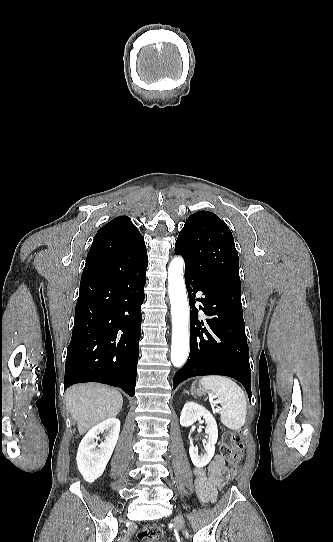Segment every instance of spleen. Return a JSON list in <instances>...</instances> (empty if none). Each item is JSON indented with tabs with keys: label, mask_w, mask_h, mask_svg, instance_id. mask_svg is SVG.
<instances>
[{
	"label": "spleen",
	"mask_w": 333,
	"mask_h": 542,
	"mask_svg": "<svg viewBox=\"0 0 333 542\" xmlns=\"http://www.w3.org/2000/svg\"><path fill=\"white\" fill-rule=\"evenodd\" d=\"M200 386L206 392H212L221 406L220 420L229 430H241L247 416L246 396L233 380L226 376H205Z\"/></svg>",
	"instance_id": "obj_1"
}]
</instances>
